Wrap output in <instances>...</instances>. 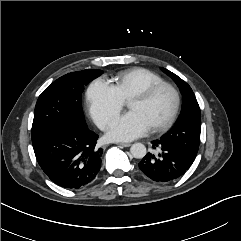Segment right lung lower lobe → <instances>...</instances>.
Returning a JSON list of instances; mask_svg holds the SVG:
<instances>
[{"mask_svg":"<svg viewBox=\"0 0 241 241\" xmlns=\"http://www.w3.org/2000/svg\"><path fill=\"white\" fill-rule=\"evenodd\" d=\"M97 139L87 125L65 124L33 141V148L40 167L55 184L79 189L100 170L103 150L96 147Z\"/></svg>","mask_w":241,"mask_h":241,"instance_id":"98d812e1","label":"right lung lower lobe"}]
</instances>
